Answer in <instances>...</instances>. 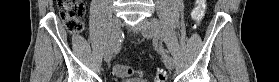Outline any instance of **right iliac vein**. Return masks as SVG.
Masks as SVG:
<instances>
[{"label":"right iliac vein","instance_id":"1","mask_svg":"<svg viewBox=\"0 0 279 82\" xmlns=\"http://www.w3.org/2000/svg\"><path fill=\"white\" fill-rule=\"evenodd\" d=\"M120 28H121L120 18L114 17L112 20L109 40L106 44L105 51H104V60L107 62H109L112 58L114 47L119 37Z\"/></svg>","mask_w":279,"mask_h":82}]
</instances>
